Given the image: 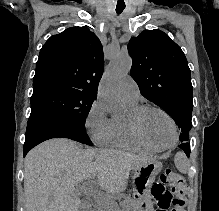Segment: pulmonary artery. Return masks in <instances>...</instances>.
<instances>
[{
  "instance_id": "e3ab8cb5",
  "label": "pulmonary artery",
  "mask_w": 219,
  "mask_h": 211,
  "mask_svg": "<svg viewBox=\"0 0 219 211\" xmlns=\"http://www.w3.org/2000/svg\"><path fill=\"white\" fill-rule=\"evenodd\" d=\"M121 98L125 103L135 104L138 102L140 91L137 83L131 76H127L120 88Z\"/></svg>"
}]
</instances>
